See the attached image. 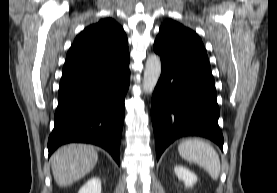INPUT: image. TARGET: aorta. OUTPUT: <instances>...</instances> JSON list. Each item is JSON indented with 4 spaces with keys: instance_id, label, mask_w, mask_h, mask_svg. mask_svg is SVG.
<instances>
[{
    "instance_id": "aorta-1",
    "label": "aorta",
    "mask_w": 277,
    "mask_h": 193,
    "mask_svg": "<svg viewBox=\"0 0 277 193\" xmlns=\"http://www.w3.org/2000/svg\"><path fill=\"white\" fill-rule=\"evenodd\" d=\"M161 75V60L156 54H152L147 58L144 76L143 91L152 93Z\"/></svg>"
}]
</instances>
